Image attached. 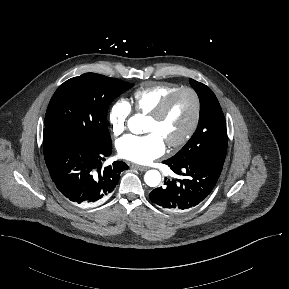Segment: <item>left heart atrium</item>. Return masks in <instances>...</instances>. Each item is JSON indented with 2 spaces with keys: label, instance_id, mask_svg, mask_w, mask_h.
Segmentation results:
<instances>
[{
  "label": "left heart atrium",
  "instance_id": "obj_1",
  "mask_svg": "<svg viewBox=\"0 0 289 289\" xmlns=\"http://www.w3.org/2000/svg\"><path fill=\"white\" fill-rule=\"evenodd\" d=\"M117 150L119 155L126 160L147 164L164 153L165 143L154 132L143 136L127 135L118 140Z\"/></svg>",
  "mask_w": 289,
  "mask_h": 289
}]
</instances>
